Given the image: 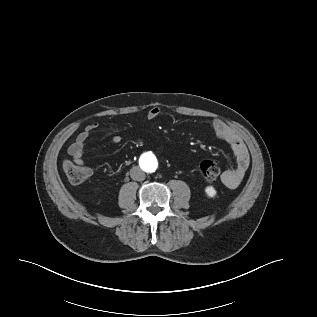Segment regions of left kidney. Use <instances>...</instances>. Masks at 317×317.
<instances>
[{
	"label": "left kidney",
	"instance_id": "1",
	"mask_svg": "<svg viewBox=\"0 0 317 317\" xmlns=\"http://www.w3.org/2000/svg\"><path fill=\"white\" fill-rule=\"evenodd\" d=\"M205 192L209 197H214L216 195V191L212 186L206 187Z\"/></svg>",
	"mask_w": 317,
	"mask_h": 317
}]
</instances>
